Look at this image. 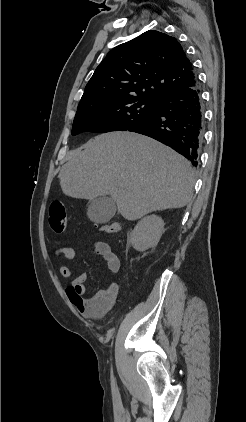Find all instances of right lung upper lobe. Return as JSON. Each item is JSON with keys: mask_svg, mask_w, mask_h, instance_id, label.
<instances>
[{"mask_svg": "<svg viewBox=\"0 0 246 422\" xmlns=\"http://www.w3.org/2000/svg\"><path fill=\"white\" fill-rule=\"evenodd\" d=\"M196 83L193 65L181 44L150 30L107 54L86 85L78 107L124 96L154 102Z\"/></svg>", "mask_w": 246, "mask_h": 422, "instance_id": "cb5924a9", "label": "right lung upper lobe"}]
</instances>
